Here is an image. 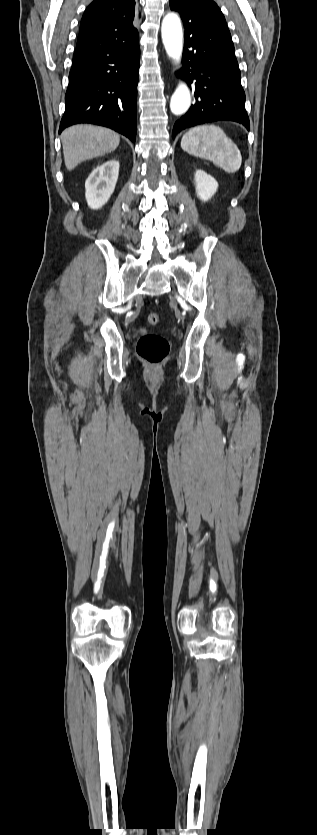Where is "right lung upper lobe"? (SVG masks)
<instances>
[{"label": "right lung upper lobe", "instance_id": "1", "mask_svg": "<svg viewBox=\"0 0 317 835\" xmlns=\"http://www.w3.org/2000/svg\"><path fill=\"white\" fill-rule=\"evenodd\" d=\"M135 0H95L85 10L76 49L114 48L139 37Z\"/></svg>", "mask_w": 317, "mask_h": 835}]
</instances>
